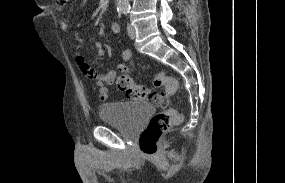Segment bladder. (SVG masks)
<instances>
[{"instance_id": "1", "label": "bladder", "mask_w": 285, "mask_h": 183, "mask_svg": "<svg viewBox=\"0 0 285 183\" xmlns=\"http://www.w3.org/2000/svg\"><path fill=\"white\" fill-rule=\"evenodd\" d=\"M154 107L146 103H107L100 106L101 121L119 126L126 133L136 132L154 115Z\"/></svg>"}]
</instances>
